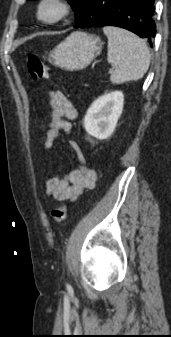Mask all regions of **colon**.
Wrapping results in <instances>:
<instances>
[{
	"mask_svg": "<svg viewBox=\"0 0 171 337\" xmlns=\"http://www.w3.org/2000/svg\"><path fill=\"white\" fill-rule=\"evenodd\" d=\"M26 66L30 76L34 80L46 78L49 75L48 68L37 56H29L26 61ZM66 215L67 206L64 203L59 204L51 212L52 219L57 224L63 222L66 218Z\"/></svg>",
	"mask_w": 171,
	"mask_h": 337,
	"instance_id": "obj_1",
	"label": "colon"
}]
</instances>
